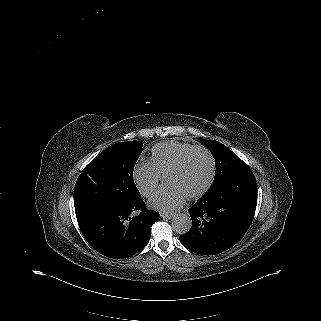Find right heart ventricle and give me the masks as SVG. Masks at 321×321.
<instances>
[{
    "instance_id": "e07e8e85",
    "label": "right heart ventricle",
    "mask_w": 321,
    "mask_h": 321,
    "mask_svg": "<svg viewBox=\"0 0 321 321\" xmlns=\"http://www.w3.org/2000/svg\"><path fill=\"white\" fill-rule=\"evenodd\" d=\"M197 147L193 144L180 141L160 143L152 149L151 163L159 176L166 177L186 160L189 154Z\"/></svg>"
}]
</instances>
